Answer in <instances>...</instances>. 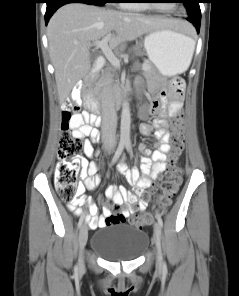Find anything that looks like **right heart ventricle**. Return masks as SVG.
I'll use <instances>...</instances> for the list:
<instances>
[{"label": "right heart ventricle", "instance_id": "right-heart-ventricle-1", "mask_svg": "<svg viewBox=\"0 0 239 296\" xmlns=\"http://www.w3.org/2000/svg\"><path fill=\"white\" fill-rule=\"evenodd\" d=\"M136 0H120L118 7L125 9H145L142 3H136Z\"/></svg>", "mask_w": 239, "mask_h": 296}]
</instances>
